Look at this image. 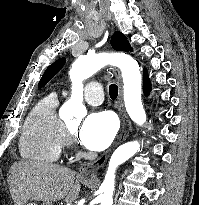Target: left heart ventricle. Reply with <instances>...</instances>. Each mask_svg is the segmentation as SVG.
<instances>
[{
	"mask_svg": "<svg viewBox=\"0 0 199 205\" xmlns=\"http://www.w3.org/2000/svg\"><path fill=\"white\" fill-rule=\"evenodd\" d=\"M67 126H68V128L73 132V131H75V129L77 128L78 123H77V122H71V123H69Z\"/></svg>",
	"mask_w": 199,
	"mask_h": 205,
	"instance_id": "obj_1",
	"label": "left heart ventricle"
}]
</instances>
